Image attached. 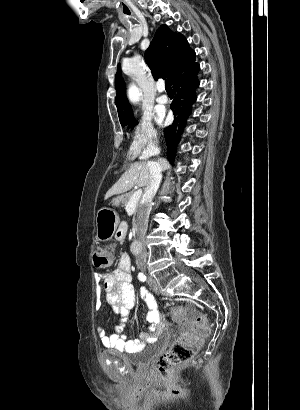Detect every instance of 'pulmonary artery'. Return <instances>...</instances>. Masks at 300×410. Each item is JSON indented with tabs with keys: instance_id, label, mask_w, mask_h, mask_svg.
<instances>
[{
	"instance_id": "pulmonary-artery-1",
	"label": "pulmonary artery",
	"mask_w": 300,
	"mask_h": 410,
	"mask_svg": "<svg viewBox=\"0 0 300 410\" xmlns=\"http://www.w3.org/2000/svg\"><path fill=\"white\" fill-rule=\"evenodd\" d=\"M158 96L157 101L160 104H166L168 102V97L165 94V85L163 82H159L157 85Z\"/></svg>"
}]
</instances>
